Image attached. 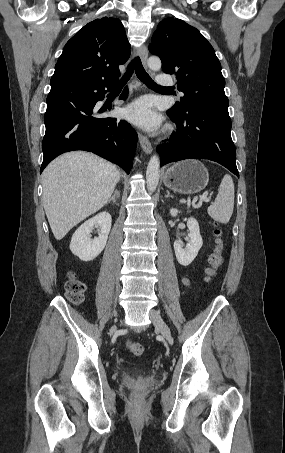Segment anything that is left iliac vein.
Here are the masks:
<instances>
[{
  "instance_id": "obj_1",
  "label": "left iliac vein",
  "mask_w": 285,
  "mask_h": 453,
  "mask_svg": "<svg viewBox=\"0 0 285 453\" xmlns=\"http://www.w3.org/2000/svg\"><path fill=\"white\" fill-rule=\"evenodd\" d=\"M150 318L154 326L160 331V333L167 339H171V332L167 324L162 319L160 313L157 310L152 309L150 311Z\"/></svg>"
}]
</instances>
